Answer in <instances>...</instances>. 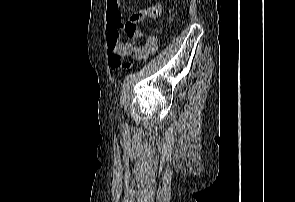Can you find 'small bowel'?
I'll list each match as a JSON object with an SVG mask.
<instances>
[{"mask_svg": "<svg viewBox=\"0 0 295 202\" xmlns=\"http://www.w3.org/2000/svg\"><path fill=\"white\" fill-rule=\"evenodd\" d=\"M120 0H106V18L110 24L119 23L122 20L120 11ZM162 12V5L160 2H155L151 7L144 8L133 14L131 17L137 23L145 17L156 18ZM158 48V39L155 36H148L145 44L142 47L134 46L132 44H123L118 47H109V66L112 69H118L121 66V59L123 56L133 54L138 58L148 57L156 52Z\"/></svg>", "mask_w": 295, "mask_h": 202, "instance_id": "c3829d8e", "label": "small bowel"}]
</instances>
